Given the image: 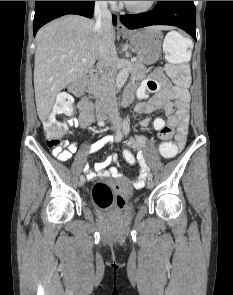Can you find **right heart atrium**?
Masks as SVG:
<instances>
[{"instance_id":"right-heart-atrium-1","label":"right heart atrium","mask_w":233,"mask_h":295,"mask_svg":"<svg viewBox=\"0 0 233 295\" xmlns=\"http://www.w3.org/2000/svg\"><path fill=\"white\" fill-rule=\"evenodd\" d=\"M102 4H114L115 1H98Z\"/></svg>"}]
</instances>
